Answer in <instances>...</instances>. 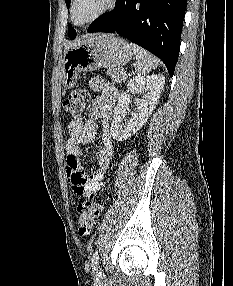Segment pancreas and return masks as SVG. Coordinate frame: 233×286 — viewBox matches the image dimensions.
I'll use <instances>...</instances> for the list:
<instances>
[{"instance_id":"cf45deb5","label":"pancreas","mask_w":233,"mask_h":286,"mask_svg":"<svg viewBox=\"0 0 233 286\" xmlns=\"http://www.w3.org/2000/svg\"><path fill=\"white\" fill-rule=\"evenodd\" d=\"M107 74L114 82L122 83L127 79V76L124 75L125 70L122 67L109 68Z\"/></svg>"}]
</instances>
